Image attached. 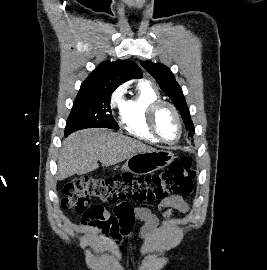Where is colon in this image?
Returning <instances> with one entry per match:
<instances>
[{
	"mask_svg": "<svg viewBox=\"0 0 267 270\" xmlns=\"http://www.w3.org/2000/svg\"><path fill=\"white\" fill-rule=\"evenodd\" d=\"M192 158L174 161L167 170L147 176L129 173L107 178H82L67 184L61 205L64 209L88 213L91 200L104 203L118 201L161 202L190 191L195 177Z\"/></svg>",
	"mask_w": 267,
	"mask_h": 270,
	"instance_id": "obj_1",
	"label": "colon"
}]
</instances>
